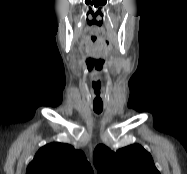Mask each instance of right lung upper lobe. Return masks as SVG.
I'll return each mask as SVG.
<instances>
[{"mask_svg":"<svg viewBox=\"0 0 187 174\" xmlns=\"http://www.w3.org/2000/svg\"><path fill=\"white\" fill-rule=\"evenodd\" d=\"M26 174H93V170L82 151L57 142L36 153Z\"/></svg>","mask_w":187,"mask_h":174,"instance_id":"1","label":"right lung upper lobe"}]
</instances>
